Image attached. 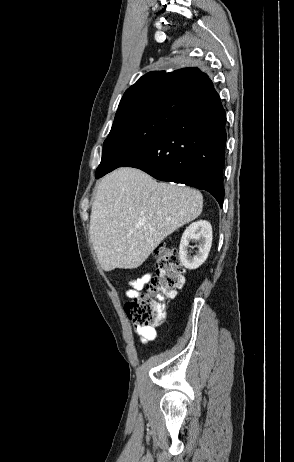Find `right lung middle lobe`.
<instances>
[{
	"mask_svg": "<svg viewBox=\"0 0 294 462\" xmlns=\"http://www.w3.org/2000/svg\"><path fill=\"white\" fill-rule=\"evenodd\" d=\"M186 104L183 95L170 93L117 112L110 134L104 141L96 176L122 166L140 147L163 131Z\"/></svg>",
	"mask_w": 294,
	"mask_h": 462,
	"instance_id": "obj_1",
	"label": "right lung middle lobe"
}]
</instances>
